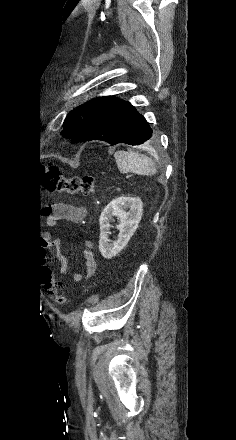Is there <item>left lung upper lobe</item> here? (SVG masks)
Returning a JSON list of instances; mask_svg holds the SVG:
<instances>
[{
	"label": "left lung upper lobe",
	"instance_id": "obj_1",
	"mask_svg": "<svg viewBox=\"0 0 236 440\" xmlns=\"http://www.w3.org/2000/svg\"><path fill=\"white\" fill-rule=\"evenodd\" d=\"M114 96L95 98L71 111L64 121L62 134L65 138H73L82 126L102 107L111 102Z\"/></svg>",
	"mask_w": 236,
	"mask_h": 440
}]
</instances>
